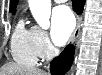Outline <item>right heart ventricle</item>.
Here are the masks:
<instances>
[{
    "label": "right heart ventricle",
    "instance_id": "obj_1",
    "mask_svg": "<svg viewBox=\"0 0 102 75\" xmlns=\"http://www.w3.org/2000/svg\"><path fill=\"white\" fill-rule=\"evenodd\" d=\"M13 59L21 64L35 65L38 59L35 49V32L20 20L14 30L11 40Z\"/></svg>",
    "mask_w": 102,
    "mask_h": 75
}]
</instances>
